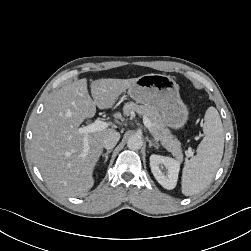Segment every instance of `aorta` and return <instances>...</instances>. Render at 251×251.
Wrapping results in <instances>:
<instances>
[{"label": "aorta", "instance_id": "obj_1", "mask_svg": "<svg viewBox=\"0 0 251 251\" xmlns=\"http://www.w3.org/2000/svg\"><path fill=\"white\" fill-rule=\"evenodd\" d=\"M143 145V140L139 135H132L127 141V147L131 150H139Z\"/></svg>", "mask_w": 251, "mask_h": 251}]
</instances>
